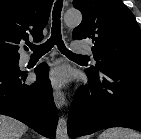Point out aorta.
<instances>
[{
    "instance_id": "762f6f07",
    "label": "aorta",
    "mask_w": 141,
    "mask_h": 139,
    "mask_svg": "<svg viewBox=\"0 0 141 139\" xmlns=\"http://www.w3.org/2000/svg\"><path fill=\"white\" fill-rule=\"evenodd\" d=\"M82 21V14L77 10H69L64 15V22L68 26L79 25ZM67 120L59 117L56 129V139H68Z\"/></svg>"
}]
</instances>
